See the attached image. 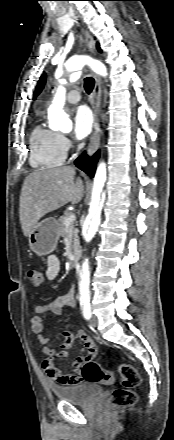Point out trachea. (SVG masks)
Wrapping results in <instances>:
<instances>
[{"label":"trachea","mask_w":174,"mask_h":440,"mask_svg":"<svg viewBox=\"0 0 174 440\" xmlns=\"http://www.w3.org/2000/svg\"><path fill=\"white\" fill-rule=\"evenodd\" d=\"M95 81L92 77H86L84 79V87L88 94H90L94 88Z\"/></svg>","instance_id":"trachea-1"}]
</instances>
